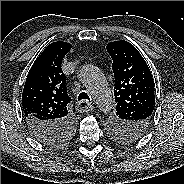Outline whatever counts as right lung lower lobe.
Instances as JSON below:
<instances>
[{"mask_svg":"<svg viewBox=\"0 0 184 184\" xmlns=\"http://www.w3.org/2000/svg\"><path fill=\"white\" fill-rule=\"evenodd\" d=\"M26 122L34 138L50 146L61 141L75 125L74 120L70 117L59 122L43 121L29 117L26 119Z\"/></svg>","mask_w":184,"mask_h":184,"instance_id":"98d812e1","label":"right lung lower lobe"}]
</instances>
